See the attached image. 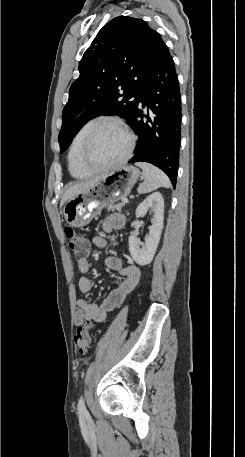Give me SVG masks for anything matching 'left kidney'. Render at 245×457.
<instances>
[{
	"mask_svg": "<svg viewBox=\"0 0 245 457\" xmlns=\"http://www.w3.org/2000/svg\"><path fill=\"white\" fill-rule=\"evenodd\" d=\"M148 210L154 212L151 226H148L149 235L145 237V243L138 241L137 235H130L128 239L130 255L137 265H149L154 259L159 245L164 220V198L161 192H152L136 208V218L144 216ZM141 245V247H140Z\"/></svg>",
	"mask_w": 245,
	"mask_h": 457,
	"instance_id": "1",
	"label": "left kidney"
}]
</instances>
